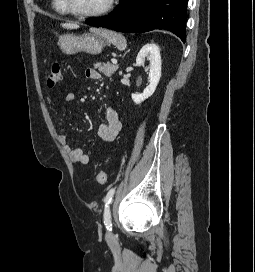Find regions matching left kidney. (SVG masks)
<instances>
[{"label":"left kidney","instance_id":"left-kidney-1","mask_svg":"<svg viewBox=\"0 0 255 272\" xmlns=\"http://www.w3.org/2000/svg\"><path fill=\"white\" fill-rule=\"evenodd\" d=\"M145 59L149 60V85L144 89L142 94H132V100L135 104H140L153 95L161 77V56L159 47L154 44H146L139 51L136 64L141 66Z\"/></svg>","mask_w":255,"mask_h":272}]
</instances>
